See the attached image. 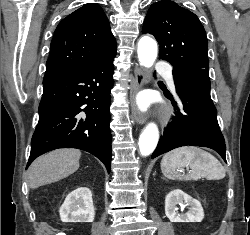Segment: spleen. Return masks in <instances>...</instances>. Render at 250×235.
Instances as JSON below:
<instances>
[{"label":"spleen","instance_id":"1","mask_svg":"<svg viewBox=\"0 0 250 235\" xmlns=\"http://www.w3.org/2000/svg\"><path fill=\"white\" fill-rule=\"evenodd\" d=\"M191 168L187 175L178 173L180 168ZM161 171L171 180H220L225 177L222 164L210 153L196 147H180L165 154L161 160Z\"/></svg>","mask_w":250,"mask_h":235}]
</instances>
